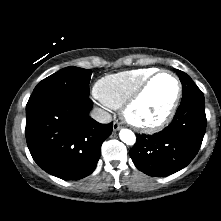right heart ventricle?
I'll list each match as a JSON object with an SVG mask.
<instances>
[{
  "label": "right heart ventricle",
  "mask_w": 221,
  "mask_h": 221,
  "mask_svg": "<svg viewBox=\"0 0 221 221\" xmlns=\"http://www.w3.org/2000/svg\"><path fill=\"white\" fill-rule=\"evenodd\" d=\"M155 71V68H137L106 75L95 83L94 94L103 104L120 108L134 90Z\"/></svg>",
  "instance_id": "right-heart-ventricle-1"
}]
</instances>
